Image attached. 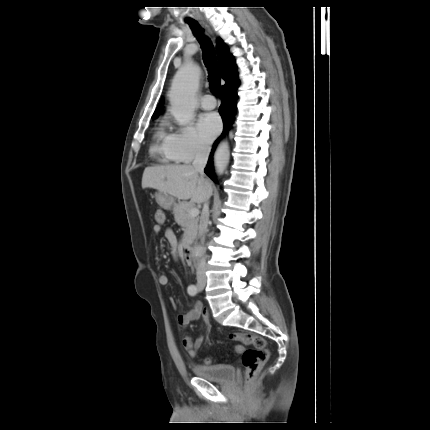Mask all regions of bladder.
I'll return each mask as SVG.
<instances>
[{"instance_id": "obj_1", "label": "bladder", "mask_w": 430, "mask_h": 430, "mask_svg": "<svg viewBox=\"0 0 430 430\" xmlns=\"http://www.w3.org/2000/svg\"><path fill=\"white\" fill-rule=\"evenodd\" d=\"M200 378L216 383H229L235 377V367L230 364H199L192 368Z\"/></svg>"}]
</instances>
